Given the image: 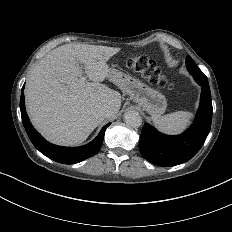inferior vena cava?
I'll list each match as a JSON object with an SVG mask.
<instances>
[{
  "label": "inferior vena cava",
  "mask_w": 232,
  "mask_h": 232,
  "mask_svg": "<svg viewBox=\"0 0 232 232\" xmlns=\"http://www.w3.org/2000/svg\"><path fill=\"white\" fill-rule=\"evenodd\" d=\"M98 113L103 117V118H107V117H110L113 112L112 110L110 109L109 106H103L101 107L100 109H98Z\"/></svg>",
  "instance_id": "1"
}]
</instances>
